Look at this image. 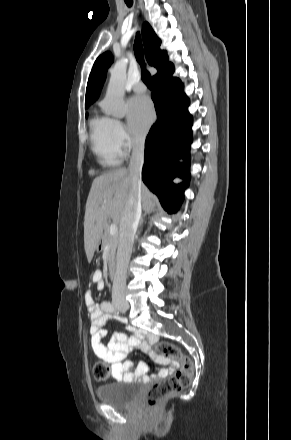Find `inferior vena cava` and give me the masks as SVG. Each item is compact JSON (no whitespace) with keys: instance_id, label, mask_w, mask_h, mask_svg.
I'll list each match as a JSON object with an SVG mask.
<instances>
[{"instance_id":"inferior-vena-cava-1","label":"inferior vena cava","mask_w":291,"mask_h":440,"mask_svg":"<svg viewBox=\"0 0 291 440\" xmlns=\"http://www.w3.org/2000/svg\"><path fill=\"white\" fill-rule=\"evenodd\" d=\"M144 163V138L135 140L128 171L131 177V191L125 206L119 229L116 272L112 288V301L127 304L126 273L129 264L134 236L141 218V172Z\"/></svg>"}]
</instances>
